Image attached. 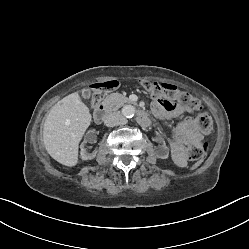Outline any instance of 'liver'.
<instances>
[{
	"instance_id": "1",
	"label": "liver",
	"mask_w": 249,
	"mask_h": 249,
	"mask_svg": "<svg viewBox=\"0 0 249 249\" xmlns=\"http://www.w3.org/2000/svg\"><path fill=\"white\" fill-rule=\"evenodd\" d=\"M91 121L90 111L77 92L60 100L44 123L43 142L48 154L65 166H75L79 143Z\"/></svg>"
}]
</instances>
